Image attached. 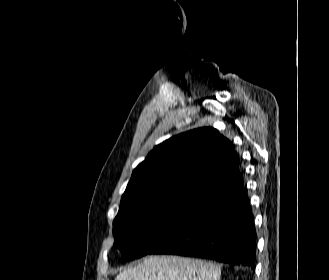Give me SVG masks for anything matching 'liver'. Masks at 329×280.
Masks as SVG:
<instances>
[{
	"mask_svg": "<svg viewBox=\"0 0 329 280\" xmlns=\"http://www.w3.org/2000/svg\"><path fill=\"white\" fill-rule=\"evenodd\" d=\"M220 265L180 256H148L115 280H220Z\"/></svg>",
	"mask_w": 329,
	"mask_h": 280,
	"instance_id": "liver-1",
	"label": "liver"
}]
</instances>
